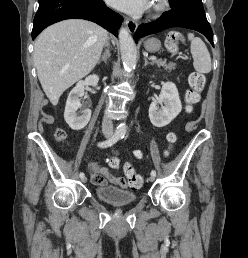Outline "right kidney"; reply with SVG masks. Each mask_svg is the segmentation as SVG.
<instances>
[{
	"instance_id": "1",
	"label": "right kidney",
	"mask_w": 248,
	"mask_h": 258,
	"mask_svg": "<svg viewBox=\"0 0 248 258\" xmlns=\"http://www.w3.org/2000/svg\"><path fill=\"white\" fill-rule=\"evenodd\" d=\"M99 77L97 75H90L84 81H79L68 95L64 119L66 123L73 130L83 129L91 118V110L86 109L81 116H77L76 111L80 107V97L84 95L85 86L96 87L98 85Z\"/></svg>"
}]
</instances>
